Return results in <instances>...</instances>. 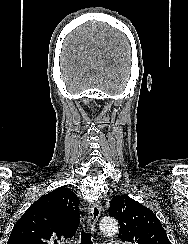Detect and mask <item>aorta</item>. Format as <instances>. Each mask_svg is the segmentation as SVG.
<instances>
[{
  "label": "aorta",
  "mask_w": 188,
  "mask_h": 244,
  "mask_svg": "<svg viewBox=\"0 0 188 244\" xmlns=\"http://www.w3.org/2000/svg\"><path fill=\"white\" fill-rule=\"evenodd\" d=\"M100 230L107 235H113L118 232V223L112 217H104L99 224Z\"/></svg>",
  "instance_id": "aorta-1"
}]
</instances>
